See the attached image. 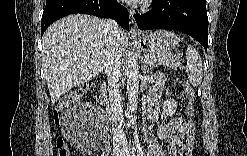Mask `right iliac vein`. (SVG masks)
Returning a JSON list of instances; mask_svg holds the SVG:
<instances>
[{
	"mask_svg": "<svg viewBox=\"0 0 247 156\" xmlns=\"http://www.w3.org/2000/svg\"><path fill=\"white\" fill-rule=\"evenodd\" d=\"M122 152V147L120 145L114 146L113 153L114 155H119Z\"/></svg>",
	"mask_w": 247,
	"mask_h": 156,
	"instance_id": "1",
	"label": "right iliac vein"
}]
</instances>
